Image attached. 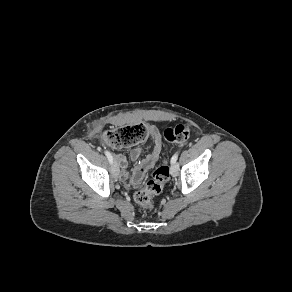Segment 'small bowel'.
Segmentation results:
<instances>
[{
    "instance_id": "small-bowel-1",
    "label": "small bowel",
    "mask_w": 292,
    "mask_h": 292,
    "mask_svg": "<svg viewBox=\"0 0 292 292\" xmlns=\"http://www.w3.org/2000/svg\"><path fill=\"white\" fill-rule=\"evenodd\" d=\"M149 139L152 142V150L144 158L140 159L144 151V146H136L131 149V160H139L131 175L128 172V162L126 157L122 154H117L115 156L120 168V178L125 184L129 185L140 183L146 173L157 163L162 149V141L158 136V132L155 128H152V133Z\"/></svg>"
}]
</instances>
